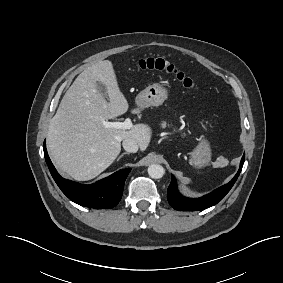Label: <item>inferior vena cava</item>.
<instances>
[{"instance_id": "inferior-vena-cava-1", "label": "inferior vena cava", "mask_w": 283, "mask_h": 283, "mask_svg": "<svg viewBox=\"0 0 283 283\" xmlns=\"http://www.w3.org/2000/svg\"><path fill=\"white\" fill-rule=\"evenodd\" d=\"M123 148L130 153H136L138 151L139 145L132 138H125L122 142Z\"/></svg>"}]
</instances>
